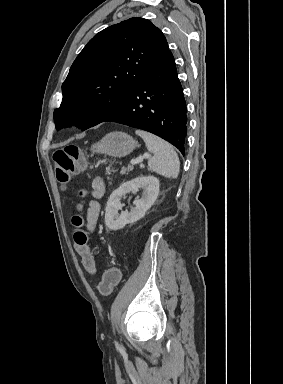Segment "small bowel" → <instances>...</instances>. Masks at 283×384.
I'll list each match as a JSON object with an SVG mask.
<instances>
[{
    "label": "small bowel",
    "mask_w": 283,
    "mask_h": 384,
    "mask_svg": "<svg viewBox=\"0 0 283 384\" xmlns=\"http://www.w3.org/2000/svg\"><path fill=\"white\" fill-rule=\"evenodd\" d=\"M105 192V184L101 178H96L92 182V199L89 202L87 216H86V228L89 232H93L95 230L99 212H100V204L98 199H100ZM75 249L79 256L81 257L82 266L89 273L96 272V264L94 255L90 249V247L85 245H79L75 243Z\"/></svg>",
    "instance_id": "c3829d8e"
}]
</instances>
